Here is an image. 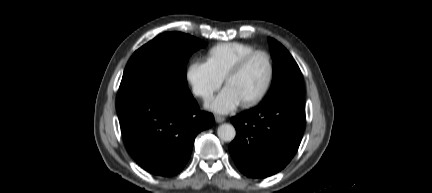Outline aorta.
Segmentation results:
<instances>
[{"label":"aorta","mask_w":432,"mask_h":193,"mask_svg":"<svg viewBox=\"0 0 432 193\" xmlns=\"http://www.w3.org/2000/svg\"><path fill=\"white\" fill-rule=\"evenodd\" d=\"M217 135L220 140L231 142L236 136V130L233 125L224 123L218 127Z\"/></svg>","instance_id":"obj_1"}]
</instances>
